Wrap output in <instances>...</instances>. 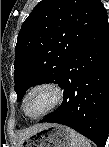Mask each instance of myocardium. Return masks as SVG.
I'll return each mask as SVG.
<instances>
[{
  "mask_svg": "<svg viewBox=\"0 0 109 147\" xmlns=\"http://www.w3.org/2000/svg\"><path fill=\"white\" fill-rule=\"evenodd\" d=\"M42 90L49 91L52 94V100L50 104L42 112H40L37 115H32L27 110V105H26L27 99L34 92L42 91ZM63 98H64V91L63 88L58 83L53 81L42 82L32 87L24 96L23 104H22L23 111L25 112L26 115H28L31 118H40L55 110L61 104Z\"/></svg>",
  "mask_w": 109,
  "mask_h": 147,
  "instance_id": "1",
  "label": "myocardium"
}]
</instances>
